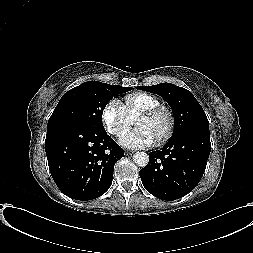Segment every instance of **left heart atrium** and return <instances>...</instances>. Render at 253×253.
Instances as JSON below:
<instances>
[{"label": "left heart atrium", "instance_id": "obj_1", "mask_svg": "<svg viewBox=\"0 0 253 253\" xmlns=\"http://www.w3.org/2000/svg\"><path fill=\"white\" fill-rule=\"evenodd\" d=\"M156 142L154 135L144 128H137L120 139V144L130 149L147 148L153 146Z\"/></svg>", "mask_w": 253, "mask_h": 253}]
</instances>
